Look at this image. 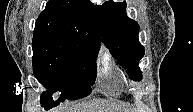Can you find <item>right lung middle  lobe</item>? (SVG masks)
Instances as JSON below:
<instances>
[{
	"label": "right lung middle lobe",
	"instance_id": "dd1d6c3e",
	"mask_svg": "<svg viewBox=\"0 0 193 112\" xmlns=\"http://www.w3.org/2000/svg\"><path fill=\"white\" fill-rule=\"evenodd\" d=\"M33 71L36 79L48 89L41 95L46 110L64 99L88 96L96 78L99 47L93 42L65 35H34ZM61 92L58 101L52 93Z\"/></svg>",
	"mask_w": 193,
	"mask_h": 112
}]
</instances>
